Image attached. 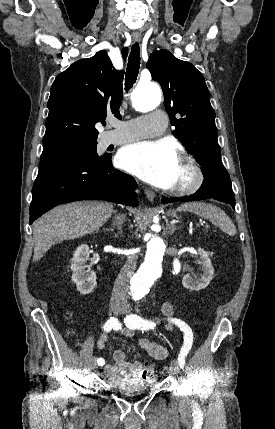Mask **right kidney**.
Returning <instances> with one entry per match:
<instances>
[{"instance_id": "obj_1", "label": "right kidney", "mask_w": 275, "mask_h": 429, "mask_svg": "<svg viewBox=\"0 0 275 429\" xmlns=\"http://www.w3.org/2000/svg\"><path fill=\"white\" fill-rule=\"evenodd\" d=\"M88 259L89 247L82 244L74 252L70 266L73 271L72 281L82 295L90 294L97 285L95 272L85 265Z\"/></svg>"}]
</instances>
